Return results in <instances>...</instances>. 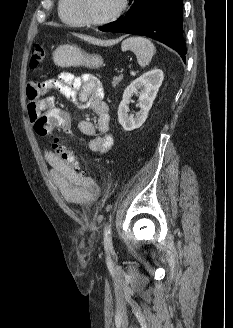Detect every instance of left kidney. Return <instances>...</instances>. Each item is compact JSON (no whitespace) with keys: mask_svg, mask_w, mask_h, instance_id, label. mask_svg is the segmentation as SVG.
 <instances>
[{"mask_svg":"<svg viewBox=\"0 0 233 328\" xmlns=\"http://www.w3.org/2000/svg\"><path fill=\"white\" fill-rule=\"evenodd\" d=\"M163 71L161 69H153L144 73L135 79L124 91L123 99L118 108V121L125 131H132L142 126L147 119L149 110L156 98L158 90L163 81ZM139 92V108L140 111L135 116L129 115V103L133 93Z\"/></svg>","mask_w":233,"mask_h":328,"instance_id":"obj_1","label":"left kidney"}]
</instances>
